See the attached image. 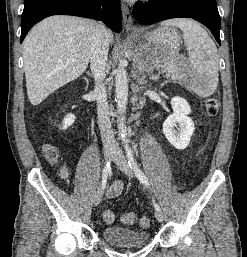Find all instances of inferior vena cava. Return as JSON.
<instances>
[{"instance_id": "inferior-vena-cava-1", "label": "inferior vena cava", "mask_w": 247, "mask_h": 257, "mask_svg": "<svg viewBox=\"0 0 247 257\" xmlns=\"http://www.w3.org/2000/svg\"><path fill=\"white\" fill-rule=\"evenodd\" d=\"M109 50V33L102 23L95 25L91 41L90 68L95 80L94 95L97 100L98 124L104 147H116L112 130L106 88L102 81L106 77L105 67Z\"/></svg>"}]
</instances>
